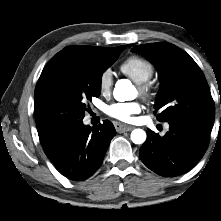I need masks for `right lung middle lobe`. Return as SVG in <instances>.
<instances>
[{"label":"right lung middle lobe","mask_w":221,"mask_h":221,"mask_svg":"<svg viewBox=\"0 0 221 221\" xmlns=\"http://www.w3.org/2000/svg\"><path fill=\"white\" fill-rule=\"evenodd\" d=\"M118 57L67 58L45 66L34 93L40 142L83 120L87 103L100 95L103 72Z\"/></svg>","instance_id":"obj_1"}]
</instances>
